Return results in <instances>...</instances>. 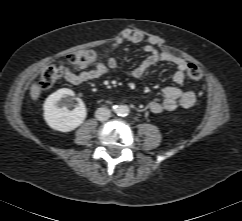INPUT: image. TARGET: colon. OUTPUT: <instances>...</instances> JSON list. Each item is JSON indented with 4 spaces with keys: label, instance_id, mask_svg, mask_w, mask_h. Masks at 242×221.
I'll list each match as a JSON object with an SVG mask.
<instances>
[{
    "label": "colon",
    "instance_id": "obj_1",
    "mask_svg": "<svg viewBox=\"0 0 242 221\" xmlns=\"http://www.w3.org/2000/svg\"><path fill=\"white\" fill-rule=\"evenodd\" d=\"M99 56L100 54L97 51L84 50L81 52L71 54L69 59L73 65L77 67H83L96 61L99 58ZM187 75L189 79L192 81H199L203 76L201 69L194 64H191L187 67ZM61 76L62 69L60 66L56 64H51L47 66L40 74V88L42 90L51 89L58 82Z\"/></svg>",
    "mask_w": 242,
    "mask_h": 221
}]
</instances>
